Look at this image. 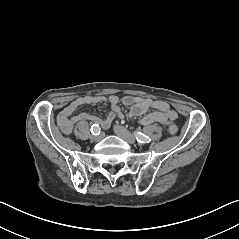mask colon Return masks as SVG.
Listing matches in <instances>:
<instances>
[{"label": "colon", "mask_w": 239, "mask_h": 239, "mask_svg": "<svg viewBox=\"0 0 239 239\" xmlns=\"http://www.w3.org/2000/svg\"><path fill=\"white\" fill-rule=\"evenodd\" d=\"M168 131L171 135H174L177 132V128L175 125H170V127L168 128Z\"/></svg>", "instance_id": "obj_1"}]
</instances>
